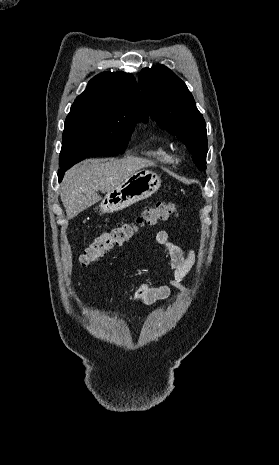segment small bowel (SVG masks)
<instances>
[{"instance_id":"obj_1","label":"small bowel","mask_w":279,"mask_h":465,"mask_svg":"<svg viewBox=\"0 0 279 465\" xmlns=\"http://www.w3.org/2000/svg\"><path fill=\"white\" fill-rule=\"evenodd\" d=\"M156 241L167 250L170 256V265L174 271L172 278L169 284L157 287L143 284L134 291H126L125 295L130 305L138 303L149 305L166 299L171 293L170 286L185 291L182 281L196 262L194 250L188 249L185 253L180 246L170 241L168 233L164 230L156 234Z\"/></svg>"}]
</instances>
